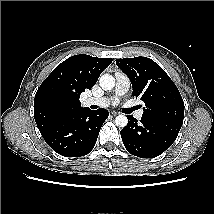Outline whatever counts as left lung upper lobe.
<instances>
[{
  "instance_id": "1",
  "label": "left lung upper lobe",
  "mask_w": 214,
  "mask_h": 214,
  "mask_svg": "<svg viewBox=\"0 0 214 214\" xmlns=\"http://www.w3.org/2000/svg\"><path fill=\"white\" fill-rule=\"evenodd\" d=\"M117 66L129 77L133 96L145 103L142 117L183 123L184 102L174 82L147 57L117 59Z\"/></svg>"
}]
</instances>
